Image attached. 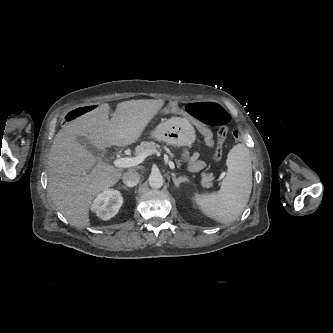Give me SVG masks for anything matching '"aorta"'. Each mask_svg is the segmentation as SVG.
Here are the masks:
<instances>
[{"mask_svg":"<svg viewBox=\"0 0 333 333\" xmlns=\"http://www.w3.org/2000/svg\"><path fill=\"white\" fill-rule=\"evenodd\" d=\"M149 185L152 188H161L163 186V176L160 172L154 171L149 175Z\"/></svg>","mask_w":333,"mask_h":333,"instance_id":"762f6f07","label":"aorta"}]
</instances>
